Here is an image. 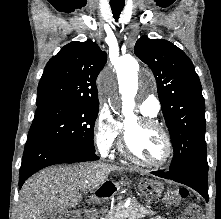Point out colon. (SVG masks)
Segmentation results:
<instances>
[{
	"label": "colon",
	"mask_w": 221,
	"mask_h": 219,
	"mask_svg": "<svg viewBox=\"0 0 221 219\" xmlns=\"http://www.w3.org/2000/svg\"><path fill=\"white\" fill-rule=\"evenodd\" d=\"M177 194L184 198L188 192L180 189ZM60 219H84V215L81 211L72 210L62 215ZM179 219H202L201 209L196 205L189 206L183 211Z\"/></svg>",
	"instance_id": "1"
}]
</instances>
